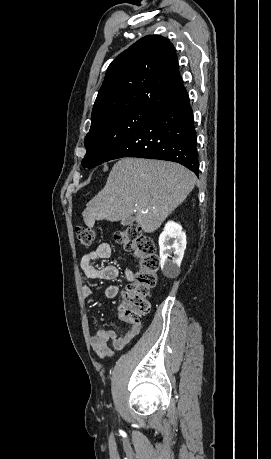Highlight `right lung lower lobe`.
<instances>
[{"mask_svg": "<svg viewBox=\"0 0 271 459\" xmlns=\"http://www.w3.org/2000/svg\"><path fill=\"white\" fill-rule=\"evenodd\" d=\"M122 157L174 161L199 175L196 130L186 89L156 110L105 162Z\"/></svg>", "mask_w": 271, "mask_h": 459, "instance_id": "obj_1", "label": "right lung lower lobe"}]
</instances>
